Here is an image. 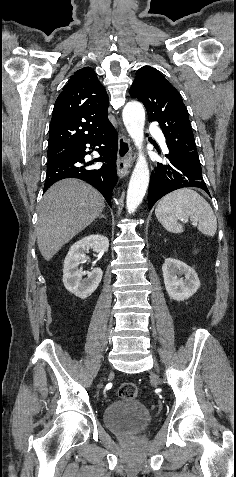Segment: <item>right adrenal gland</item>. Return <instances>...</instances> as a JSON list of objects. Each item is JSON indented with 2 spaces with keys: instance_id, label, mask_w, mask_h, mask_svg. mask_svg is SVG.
Here are the masks:
<instances>
[{
  "instance_id": "right-adrenal-gland-1",
  "label": "right adrenal gland",
  "mask_w": 236,
  "mask_h": 477,
  "mask_svg": "<svg viewBox=\"0 0 236 477\" xmlns=\"http://www.w3.org/2000/svg\"><path fill=\"white\" fill-rule=\"evenodd\" d=\"M101 218L106 219V216H105L104 214H102V215L99 217V219H101Z\"/></svg>"
}]
</instances>
